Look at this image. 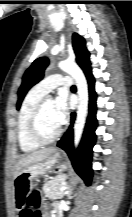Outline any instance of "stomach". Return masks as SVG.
Here are the masks:
<instances>
[{"label":"stomach","mask_w":132,"mask_h":217,"mask_svg":"<svg viewBox=\"0 0 132 217\" xmlns=\"http://www.w3.org/2000/svg\"><path fill=\"white\" fill-rule=\"evenodd\" d=\"M67 158L65 154L56 152L44 161L31 164L23 168L14 179L17 189L33 187V181L46 174H59L67 169Z\"/></svg>","instance_id":"stomach-1"}]
</instances>
